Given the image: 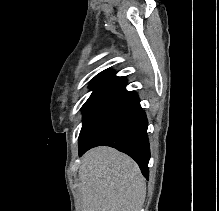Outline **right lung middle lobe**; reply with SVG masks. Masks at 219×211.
Listing matches in <instances>:
<instances>
[{"instance_id": "obj_1", "label": "right lung middle lobe", "mask_w": 219, "mask_h": 211, "mask_svg": "<svg viewBox=\"0 0 219 211\" xmlns=\"http://www.w3.org/2000/svg\"><path fill=\"white\" fill-rule=\"evenodd\" d=\"M109 91H98L93 92L88 100L85 102V104L82 107L83 112V123H82V129L80 134L84 131V129L89 124V121L97 108L100 106V104L103 102V100L108 95Z\"/></svg>"}]
</instances>
